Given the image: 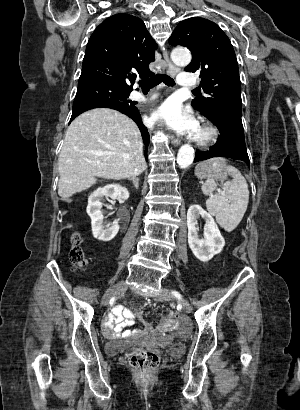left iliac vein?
<instances>
[{
	"label": "left iliac vein",
	"mask_w": 300,
	"mask_h": 410,
	"mask_svg": "<svg viewBox=\"0 0 300 410\" xmlns=\"http://www.w3.org/2000/svg\"><path fill=\"white\" fill-rule=\"evenodd\" d=\"M153 298L157 301H169L172 300L174 297L167 289H162L161 292L158 295H155ZM178 301L179 303H181L183 310L185 312L190 313L192 311V307L187 300L180 299Z\"/></svg>",
	"instance_id": "4c4485c4"
}]
</instances>
